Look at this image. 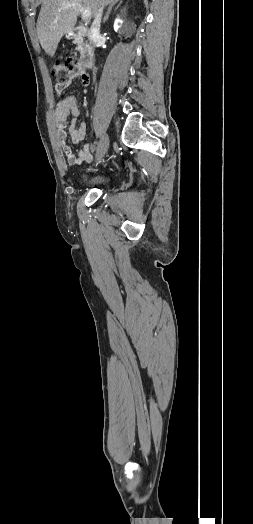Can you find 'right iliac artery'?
Here are the masks:
<instances>
[{
  "label": "right iliac artery",
  "instance_id": "1",
  "mask_svg": "<svg viewBox=\"0 0 253 524\" xmlns=\"http://www.w3.org/2000/svg\"><path fill=\"white\" fill-rule=\"evenodd\" d=\"M97 145H98V142H97V141L94 142V144H93V146H92V148H91V151H92V152H94V151L96 150Z\"/></svg>",
  "mask_w": 253,
  "mask_h": 524
}]
</instances>
